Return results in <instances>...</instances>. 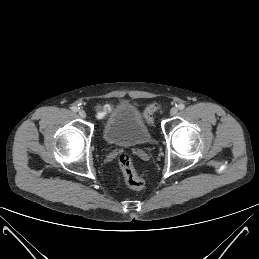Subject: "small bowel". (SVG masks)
I'll list each match as a JSON object with an SVG mask.
<instances>
[{
	"label": "small bowel",
	"instance_id": "small-bowel-1",
	"mask_svg": "<svg viewBox=\"0 0 259 259\" xmlns=\"http://www.w3.org/2000/svg\"><path fill=\"white\" fill-rule=\"evenodd\" d=\"M110 104L100 105L97 107V117L102 119L106 116V114L111 110Z\"/></svg>",
	"mask_w": 259,
	"mask_h": 259
}]
</instances>
